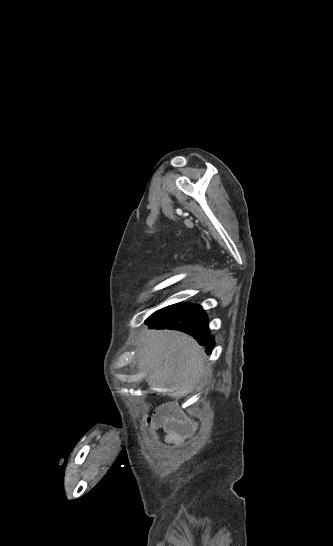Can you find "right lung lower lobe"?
Instances as JSON below:
<instances>
[{
	"mask_svg": "<svg viewBox=\"0 0 333 546\" xmlns=\"http://www.w3.org/2000/svg\"><path fill=\"white\" fill-rule=\"evenodd\" d=\"M146 323L154 328L174 329L194 336L200 345L206 347L207 354H211L215 345L207 314L199 305L178 303L168 306L153 313Z\"/></svg>",
	"mask_w": 333,
	"mask_h": 546,
	"instance_id": "1",
	"label": "right lung lower lobe"
}]
</instances>
